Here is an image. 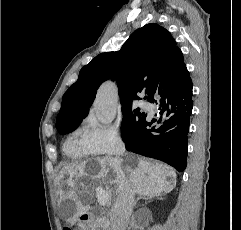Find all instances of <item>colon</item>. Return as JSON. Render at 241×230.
<instances>
[{"label": "colon", "instance_id": "obj_1", "mask_svg": "<svg viewBox=\"0 0 241 230\" xmlns=\"http://www.w3.org/2000/svg\"><path fill=\"white\" fill-rule=\"evenodd\" d=\"M64 230H71L70 228H65Z\"/></svg>", "mask_w": 241, "mask_h": 230}]
</instances>
